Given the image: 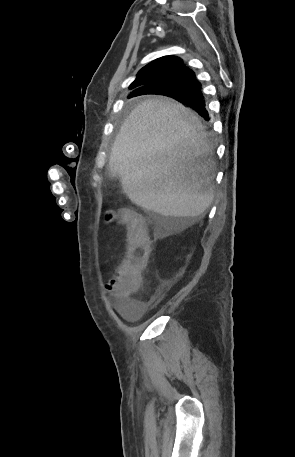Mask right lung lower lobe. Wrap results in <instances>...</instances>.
Returning a JSON list of instances; mask_svg holds the SVG:
<instances>
[{
    "instance_id": "obj_1",
    "label": "right lung lower lobe",
    "mask_w": 295,
    "mask_h": 457,
    "mask_svg": "<svg viewBox=\"0 0 295 457\" xmlns=\"http://www.w3.org/2000/svg\"><path fill=\"white\" fill-rule=\"evenodd\" d=\"M167 89L174 90V94L170 97L185 103L196 110L204 119L209 120L208 112L205 109V101L201 93V85L196 80L194 72L187 67L176 78L138 89L132 92L129 97L155 94V91Z\"/></svg>"
}]
</instances>
